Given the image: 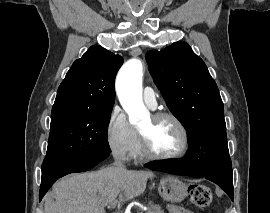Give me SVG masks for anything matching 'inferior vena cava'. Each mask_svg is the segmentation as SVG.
Wrapping results in <instances>:
<instances>
[{
	"label": "inferior vena cava",
	"mask_w": 270,
	"mask_h": 213,
	"mask_svg": "<svg viewBox=\"0 0 270 213\" xmlns=\"http://www.w3.org/2000/svg\"><path fill=\"white\" fill-rule=\"evenodd\" d=\"M113 167H115L117 170H120V171H126V167L124 166V164L118 160H116L113 163Z\"/></svg>",
	"instance_id": "obj_1"
}]
</instances>
